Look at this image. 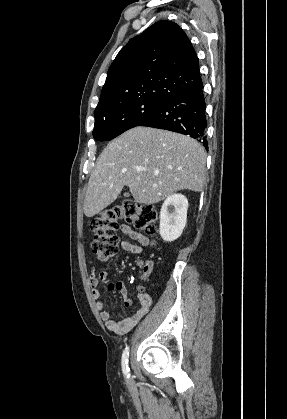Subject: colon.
Segmentation results:
<instances>
[{
	"mask_svg": "<svg viewBox=\"0 0 287 419\" xmlns=\"http://www.w3.org/2000/svg\"><path fill=\"white\" fill-rule=\"evenodd\" d=\"M120 220L153 235L156 232L158 212L153 206L124 199L95 217L90 224L94 235L91 250L101 261L109 259L117 252ZM140 264L144 265L143 262Z\"/></svg>",
	"mask_w": 287,
	"mask_h": 419,
	"instance_id": "5ec220e1",
	"label": "colon"
}]
</instances>
